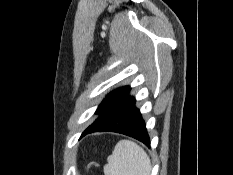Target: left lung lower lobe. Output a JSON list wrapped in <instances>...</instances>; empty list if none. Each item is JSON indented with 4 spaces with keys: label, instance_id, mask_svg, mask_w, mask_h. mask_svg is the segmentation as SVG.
<instances>
[{
    "label": "left lung lower lobe",
    "instance_id": "1",
    "mask_svg": "<svg viewBox=\"0 0 233 175\" xmlns=\"http://www.w3.org/2000/svg\"><path fill=\"white\" fill-rule=\"evenodd\" d=\"M129 90L101 118L91 124L82 136L93 132H117L133 137L149 147L150 139L145 123L139 109L135 107V98L128 95Z\"/></svg>",
    "mask_w": 233,
    "mask_h": 175
}]
</instances>
